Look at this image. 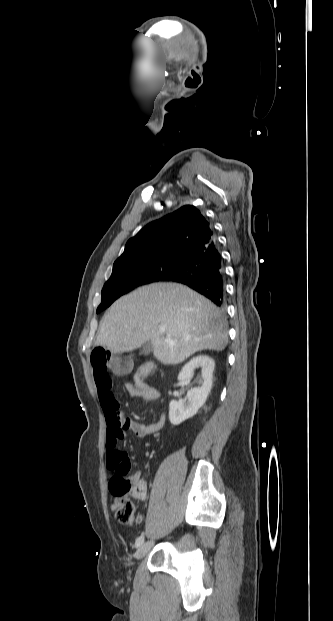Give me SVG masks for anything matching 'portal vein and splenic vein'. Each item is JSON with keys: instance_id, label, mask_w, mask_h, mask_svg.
Listing matches in <instances>:
<instances>
[{"instance_id": "portal-vein-and-splenic-vein-1", "label": "portal vein and splenic vein", "mask_w": 333, "mask_h": 621, "mask_svg": "<svg viewBox=\"0 0 333 621\" xmlns=\"http://www.w3.org/2000/svg\"><path fill=\"white\" fill-rule=\"evenodd\" d=\"M159 331L162 333V332H164V331H165V328L160 327V328H159ZM169 342H170V343H172L171 341H169Z\"/></svg>"}]
</instances>
